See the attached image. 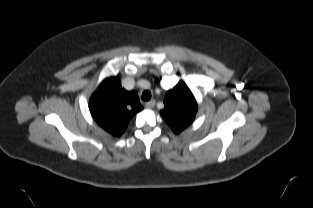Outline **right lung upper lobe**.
Masks as SVG:
<instances>
[{
  "label": "right lung upper lobe",
  "mask_w": 313,
  "mask_h": 208,
  "mask_svg": "<svg viewBox=\"0 0 313 208\" xmlns=\"http://www.w3.org/2000/svg\"><path fill=\"white\" fill-rule=\"evenodd\" d=\"M92 117L106 132L119 137L131 118L143 109L136 92L121 87L116 77L105 79L90 98Z\"/></svg>",
  "instance_id": "1"
}]
</instances>
